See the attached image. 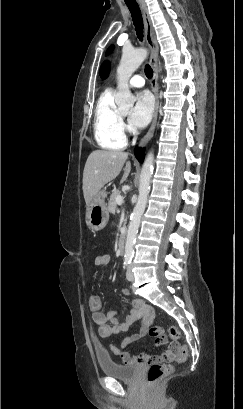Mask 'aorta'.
<instances>
[{"mask_svg":"<svg viewBox=\"0 0 243 409\" xmlns=\"http://www.w3.org/2000/svg\"><path fill=\"white\" fill-rule=\"evenodd\" d=\"M146 49H136L133 51H123L121 61L117 68L118 92L115 96V103L122 109L131 108L134 105L135 98L129 89V78L133 72L142 64L147 57ZM154 154L149 152L142 166L140 174L139 195L136 206L131 214L128 226L125 259H131L134 254V244L138 233L141 217L147 205V199L150 191V183L154 170Z\"/></svg>","mask_w":243,"mask_h":409,"instance_id":"1","label":"aorta"}]
</instances>
